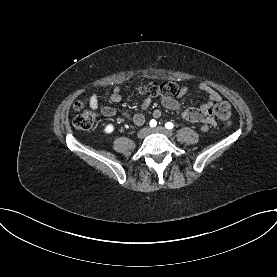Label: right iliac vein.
Returning a JSON list of instances; mask_svg holds the SVG:
<instances>
[{
  "instance_id": "obj_1",
  "label": "right iliac vein",
  "mask_w": 277,
  "mask_h": 277,
  "mask_svg": "<svg viewBox=\"0 0 277 277\" xmlns=\"http://www.w3.org/2000/svg\"><path fill=\"white\" fill-rule=\"evenodd\" d=\"M149 133H150V129L145 127L138 132L137 136L139 139H144Z\"/></svg>"
}]
</instances>
